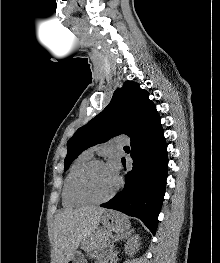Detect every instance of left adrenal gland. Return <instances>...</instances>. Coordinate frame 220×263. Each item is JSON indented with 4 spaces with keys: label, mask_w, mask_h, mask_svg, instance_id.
<instances>
[{
    "label": "left adrenal gland",
    "mask_w": 220,
    "mask_h": 263,
    "mask_svg": "<svg viewBox=\"0 0 220 263\" xmlns=\"http://www.w3.org/2000/svg\"><path fill=\"white\" fill-rule=\"evenodd\" d=\"M133 231H134V230L132 229V230H129V232H125V233H121V234L115 235L114 238H113V240L111 241V245H110L111 250H113V248H114V243H115L116 241L123 240L124 238L127 239L129 236H131V233H132Z\"/></svg>",
    "instance_id": "left-adrenal-gland-1"
}]
</instances>
